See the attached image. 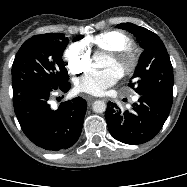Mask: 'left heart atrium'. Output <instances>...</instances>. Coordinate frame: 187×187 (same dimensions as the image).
I'll return each instance as SVG.
<instances>
[{
  "instance_id": "39dd6f15",
  "label": "left heart atrium",
  "mask_w": 187,
  "mask_h": 187,
  "mask_svg": "<svg viewBox=\"0 0 187 187\" xmlns=\"http://www.w3.org/2000/svg\"><path fill=\"white\" fill-rule=\"evenodd\" d=\"M120 77L121 72L114 67L93 69L77 78L75 88L78 92L98 96L116 84Z\"/></svg>"
}]
</instances>
